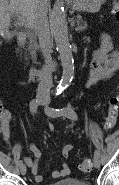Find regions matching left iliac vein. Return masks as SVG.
I'll list each match as a JSON object with an SVG mask.
<instances>
[{"label":"left iliac vein","instance_id":"4c4485c4","mask_svg":"<svg viewBox=\"0 0 119 185\" xmlns=\"http://www.w3.org/2000/svg\"><path fill=\"white\" fill-rule=\"evenodd\" d=\"M93 163H94V167L95 168H99L100 167V158H99V156L94 155Z\"/></svg>","mask_w":119,"mask_h":185}]
</instances>
